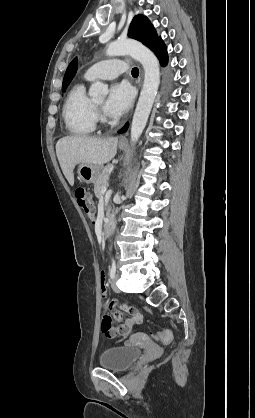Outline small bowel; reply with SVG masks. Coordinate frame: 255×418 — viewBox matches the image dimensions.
I'll list each match as a JSON object with an SVG mask.
<instances>
[{
	"instance_id": "1",
	"label": "small bowel",
	"mask_w": 255,
	"mask_h": 418,
	"mask_svg": "<svg viewBox=\"0 0 255 418\" xmlns=\"http://www.w3.org/2000/svg\"><path fill=\"white\" fill-rule=\"evenodd\" d=\"M99 254L103 253L102 249L98 250ZM105 285L106 280L104 273H101V289L103 297H105ZM115 305L114 302H110L107 300H104V306L105 307H113ZM122 312L128 315V318L121 324L116 327H113L112 318L108 313H104L102 316V322H101V328L102 332L105 334L107 338L115 339L118 337L126 338L131 335L134 326L139 323L142 320V315L135 310L134 308L128 307L126 305L122 306ZM121 314H118V317H120Z\"/></svg>"
}]
</instances>
